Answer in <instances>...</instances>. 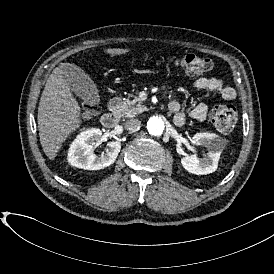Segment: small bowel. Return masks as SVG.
<instances>
[{"instance_id": "c3829d8e", "label": "small bowel", "mask_w": 274, "mask_h": 274, "mask_svg": "<svg viewBox=\"0 0 274 274\" xmlns=\"http://www.w3.org/2000/svg\"><path fill=\"white\" fill-rule=\"evenodd\" d=\"M194 90H207L217 92L224 101H233L236 98V91L233 87L224 83L219 77H200L193 82ZM169 110L174 114V123L183 126L187 120V114L181 109L178 101L171 100L168 104ZM193 119L203 121L208 115V106L205 103H198L190 112Z\"/></svg>"}]
</instances>
